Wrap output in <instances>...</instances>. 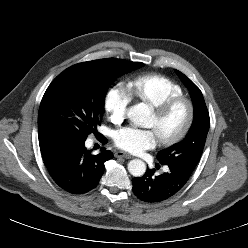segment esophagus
Listing matches in <instances>:
<instances>
[{
    "label": "esophagus",
    "mask_w": 248,
    "mask_h": 248,
    "mask_svg": "<svg viewBox=\"0 0 248 248\" xmlns=\"http://www.w3.org/2000/svg\"><path fill=\"white\" fill-rule=\"evenodd\" d=\"M114 156L115 157H123V158H126V159H131L132 158L131 154L126 153L124 151H117V152H115Z\"/></svg>",
    "instance_id": "obj_1"
}]
</instances>
